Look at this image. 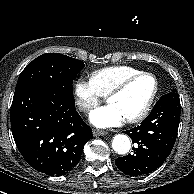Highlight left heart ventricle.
<instances>
[{"label": "left heart ventricle", "mask_w": 194, "mask_h": 194, "mask_svg": "<svg viewBox=\"0 0 194 194\" xmlns=\"http://www.w3.org/2000/svg\"><path fill=\"white\" fill-rule=\"evenodd\" d=\"M154 90V81L151 77H140L131 82L119 95L111 98L109 104L124 116L125 119L138 115L147 104Z\"/></svg>", "instance_id": "1"}]
</instances>
